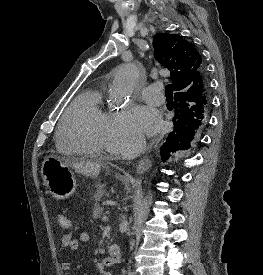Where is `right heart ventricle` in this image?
Wrapping results in <instances>:
<instances>
[{
	"label": "right heart ventricle",
	"mask_w": 263,
	"mask_h": 275,
	"mask_svg": "<svg viewBox=\"0 0 263 275\" xmlns=\"http://www.w3.org/2000/svg\"><path fill=\"white\" fill-rule=\"evenodd\" d=\"M110 114L98 89L81 92L64 112L56 134L59 151L74 156H97L106 148Z\"/></svg>",
	"instance_id": "e07e8e85"
}]
</instances>
